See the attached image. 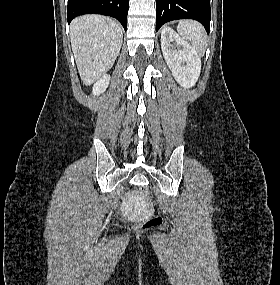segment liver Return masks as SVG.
I'll return each instance as SVG.
<instances>
[{
	"instance_id": "1",
	"label": "liver",
	"mask_w": 280,
	"mask_h": 285,
	"mask_svg": "<svg viewBox=\"0 0 280 285\" xmlns=\"http://www.w3.org/2000/svg\"><path fill=\"white\" fill-rule=\"evenodd\" d=\"M71 46L83 84L100 79L113 66L122 45L123 30L101 15L77 17L70 25Z\"/></svg>"
}]
</instances>
